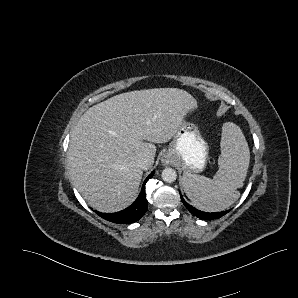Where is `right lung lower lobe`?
Wrapping results in <instances>:
<instances>
[{
	"instance_id": "obj_1",
	"label": "right lung lower lobe",
	"mask_w": 298,
	"mask_h": 298,
	"mask_svg": "<svg viewBox=\"0 0 298 298\" xmlns=\"http://www.w3.org/2000/svg\"><path fill=\"white\" fill-rule=\"evenodd\" d=\"M154 173L155 171L146 178L138 198L131 206L116 213H101L98 211L96 213L103 219L114 223L130 224L138 221L147 211L148 201L146 200L145 184L153 177Z\"/></svg>"
}]
</instances>
